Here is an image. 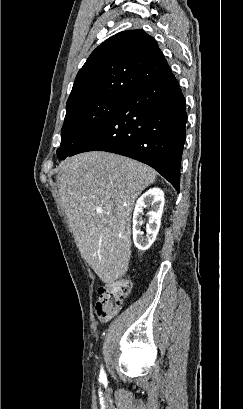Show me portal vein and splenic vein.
Wrapping results in <instances>:
<instances>
[{"label":"portal vein and splenic vein","mask_w":243,"mask_h":409,"mask_svg":"<svg viewBox=\"0 0 243 409\" xmlns=\"http://www.w3.org/2000/svg\"><path fill=\"white\" fill-rule=\"evenodd\" d=\"M97 212L101 213V212H102V210H101V209H98V210H97Z\"/></svg>","instance_id":"18ae733b"}]
</instances>
